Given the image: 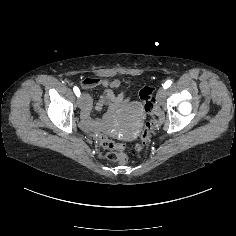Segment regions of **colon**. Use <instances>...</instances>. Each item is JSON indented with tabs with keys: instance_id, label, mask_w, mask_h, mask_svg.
Segmentation results:
<instances>
[{
	"instance_id": "5ec220e1",
	"label": "colon",
	"mask_w": 236,
	"mask_h": 236,
	"mask_svg": "<svg viewBox=\"0 0 236 236\" xmlns=\"http://www.w3.org/2000/svg\"><path fill=\"white\" fill-rule=\"evenodd\" d=\"M97 81L98 80L96 79L94 80L86 78L81 81V84L87 85ZM153 92L154 90L150 86L143 87L139 92L140 99L143 102L144 110L149 114L150 119L146 122L142 130L140 143L134 147L135 152H140L146 146L150 138L151 132L156 125V113ZM101 145L106 150L107 159L119 164H123L127 161V156L121 152L126 148L125 144H119L109 138L103 137L101 139Z\"/></svg>"
}]
</instances>
